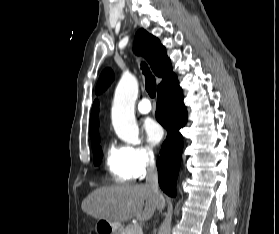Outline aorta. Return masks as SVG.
<instances>
[{
	"label": "aorta",
	"instance_id": "obj_1",
	"mask_svg": "<svg viewBox=\"0 0 279 234\" xmlns=\"http://www.w3.org/2000/svg\"><path fill=\"white\" fill-rule=\"evenodd\" d=\"M138 81L130 73L122 75L112 104V125L118 137L127 143L139 142V128L135 117Z\"/></svg>",
	"mask_w": 279,
	"mask_h": 234
}]
</instances>
